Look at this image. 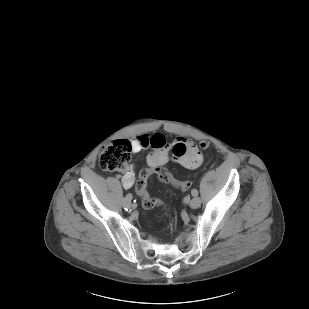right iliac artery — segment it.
<instances>
[{"mask_svg": "<svg viewBox=\"0 0 309 309\" xmlns=\"http://www.w3.org/2000/svg\"><path fill=\"white\" fill-rule=\"evenodd\" d=\"M126 198H127V199H132V194H127V195H126Z\"/></svg>", "mask_w": 309, "mask_h": 309, "instance_id": "obj_1", "label": "right iliac artery"}]
</instances>
